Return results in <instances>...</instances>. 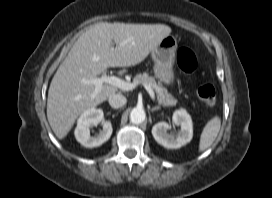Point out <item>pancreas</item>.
Instances as JSON below:
<instances>
[{
  "instance_id": "pancreas-1",
  "label": "pancreas",
  "mask_w": 272,
  "mask_h": 198,
  "mask_svg": "<svg viewBox=\"0 0 272 198\" xmlns=\"http://www.w3.org/2000/svg\"><path fill=\"white\" fill-rule=\"evenodd\" d=\"M134 83H136V85L146 83L155 89L158 103L163 107H171L177 104V100L170 93H168L167 89L160 83H157L155 78L149 76V74L146 72L137 74L134 77Z\"/></svg>"
}]
</instances>
